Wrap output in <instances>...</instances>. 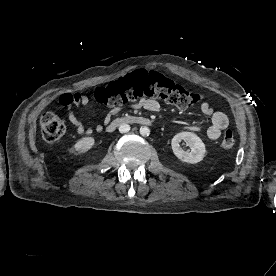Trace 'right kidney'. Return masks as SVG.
I'll use <instances>...</instances> for the list:
<instances>
[{"label": "right kidney", "instance_id": "right-kidney-1", "mask_svg": "<svg viewBox=\"0 0 276 276\" xmlns=\"http://www.w3.org/2000/svg\"><path fill=\"white\" fill-rule=\"evenodd\" d=\"M94 143L93 137H83L75 143L74 150L78 153H85L92 148Z\"/></svg>", "mask_w": 276, "mask_h": 276}]
</instances>
